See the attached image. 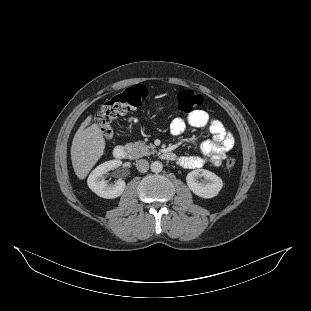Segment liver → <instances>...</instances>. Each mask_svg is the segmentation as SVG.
<instances>
[{
	"label": "liver",
	"instance_id": "obj_1",
	"mask_svg": "<svg viewBox=\"0 0 311 311\" xmlns=\"http://www.w3.org/2000/svg\"><path fill=\"white\" fill-rule=\"evenodd\" d=\"M92 116H88L74 135L71 146V160L75 174L84 179L103 155L105 139L96 123L90 124Z\"/></svg>",
	"mask_w": 311,
	"mask_h": 311
}]
</instances>
